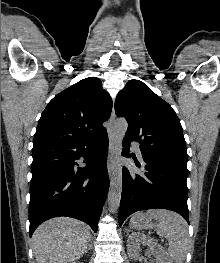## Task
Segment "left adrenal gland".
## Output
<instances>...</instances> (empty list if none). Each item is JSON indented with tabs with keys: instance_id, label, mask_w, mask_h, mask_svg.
<instances>
[{
	"instance_id": "left-adrenal-gland-1",
	"label": "left adrenal gland",
	"mask_w": 220,
	"mask_h": 263,
	"mask_svg": "<svg viewBox=\"0 0 220 263\" xmlns=\"http://www.w3.org/2000/svg\"><path fill=\"white\" fill-rule=\"evenodd\" d=\"M126 232H127V235H128V233H129V230H128V229H126Z\"/></svg>"
}]
</instances>
